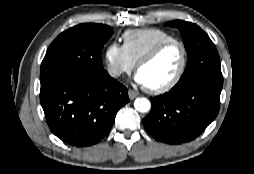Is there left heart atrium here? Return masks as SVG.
<instances>
[{"mask_svg": "<svg viewBox=\"0 0 254 174\" xmlns=\"http://www.w3.org/2000/svg\"><path fill=\"white\" fill-rule=\"evenodd\" d=\"M134 80L137 84H139L141 86H146V83L140 73H138V72L136 73Z\"/></svg>", "mask_w": 254, "mask_h": 174, "instance_id": "obj_1", "label": "left heart atrium"}]
</instances>
